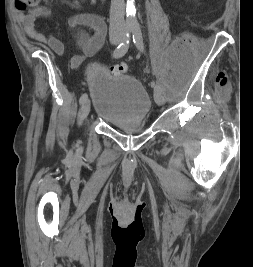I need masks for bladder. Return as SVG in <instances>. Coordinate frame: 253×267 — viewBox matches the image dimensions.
I'll list each match as a JSON object with an SVG mask.
<instances>
[{
  "label": "bladder",
  "instance_id": "1",
  "mask_svg": "<svg viewBox=\"0 0 253 267\" xmlns=\"http://www.w3.org/2000/svg\"><path fill=\"white\" fill-rule=\"evenodd\" d=\"M89 88L96 116L108 123L141 122L150 112L151 99L146 88L131 76L95 67Z\"/></svg>",
  "mask_w": 253,
  "mask_h": 267
}]
</instances>
